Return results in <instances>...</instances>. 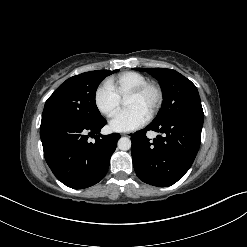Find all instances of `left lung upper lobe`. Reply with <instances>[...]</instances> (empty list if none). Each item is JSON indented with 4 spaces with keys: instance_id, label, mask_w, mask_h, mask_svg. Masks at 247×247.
I'll return each instance as SVG.
<instances>
[{
    "instance_id": "1",
    "label": "left lung upper lobe",
    "mask_w": 247,
    "mask_h": 247,
    "mask_svg": "<svg viewBox=\"0 0 247 247\" xmlns=\"http://www.w3.org/2000/svg\"><path fill=\"white\" fill-rule=\"evenodd\" d=\"M147 71L159 80L163 90V106L154 124H162L176 116L204 118L201 100L196 86L175 70L165 68H135Z\"/></svg>"
}]
</instances>
